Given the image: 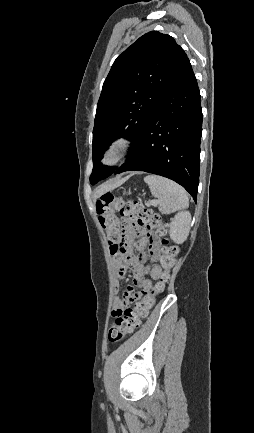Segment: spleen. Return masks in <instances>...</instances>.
I'll use <instances>...</instances> for the list:
<instances>
[{
	"mask_svg": "<svg viewBox=\"0 0 254 433\" xmlns=\"http://www.w3.org/2000/svg\"><path fill=\"white\" fill-rule=\"evenodd\" d=\"M151 194L158 198L159 211L170 214L188 207L189 198L182 186L157 175H147L144 178Z\"/></svg>",
	"mask_w": 254,
	"mask_h": 433,
	"instance_id": "1",
	"label": "spleen"
}]
</instances>
